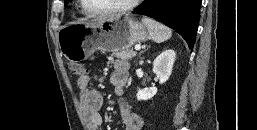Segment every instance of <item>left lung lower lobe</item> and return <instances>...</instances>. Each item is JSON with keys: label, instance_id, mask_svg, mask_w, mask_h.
Wrapping results in <instances>:
<instances>
[{"label": "left lung lower lobe", "instance_id": "obj_1", "mask_svg": "<svg viewBox=\"0 0 257 130\" xmlns=\"http://www.w3.org/2000/svg\"><path fill=\"white\" fill-rule=\"evenodd\" d=\"M202 0H145L133 12L175 29L193 48Z\"/></svg>", "mask_w": 257, "mask_h": 130}]
</instances>
